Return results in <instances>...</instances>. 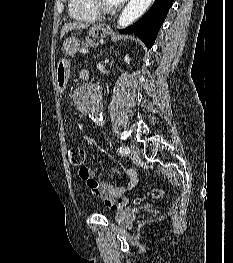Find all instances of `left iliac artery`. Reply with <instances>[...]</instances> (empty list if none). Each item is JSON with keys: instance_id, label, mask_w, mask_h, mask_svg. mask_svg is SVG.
I'll use <instances>...</instances> for the list:
<instances>
[{"instance_id": "1", "label": "left iliac artery", "mask_w": 233, "mask_h": 263, "mask_svg": "<svg viewBox=\"0 0 233 263\" xmlns=\"http://www.w3.org/2000/svg\"><path fill=\"white\" fill-rule=\"evenodd\" d=\"M119 153L122 155H128L130 153V150L128 147H120L118 149Z\"/></svg>"}]
</instances>
